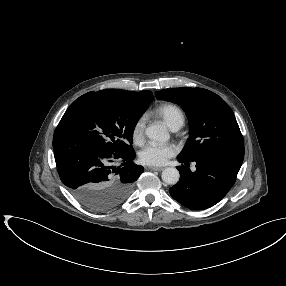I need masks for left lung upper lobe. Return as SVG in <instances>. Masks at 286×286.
<instances>
[{"label": "left lung upper lobe", "instance_id": "left-lung-upper-lobe-1", "mask_svg": "<svg viewBox=\"0 0 286 286\" xmlns=\"http://www.w3.org/2000/svg\"><path fill=\"white\" fill-rule=\"evenodd\" d=\"M155 96L180 105L188 117L190 138L179 157L193 161L213 155L243 162V136L232 109L220 96L190 87L156 91Z\"/></svg>", "mask_w": 286, "mask_h": 286}]
</instances>
